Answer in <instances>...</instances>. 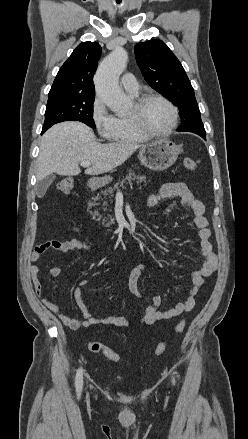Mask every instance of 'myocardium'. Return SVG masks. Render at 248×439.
<instances>
[{
	"label": "myocardium",
	"mask_w": 248,
	"mask_h": 439,
	"mask_svg": "<svg viewBox=\"0 0 248 439\" xmlns=\"http://www.w3.org/2000/svg\"><path fill=\"white\" fill-rule=\"evenodd\" d=\"M158 99L163 101L171 110L172 112V123L171 126L164 132H154L148 129L144 123L143 119V111L145 105L153 100ZM130 119L134 125V127L143 135L147 137H167L169 136L177 127L178 124V109L177 107L165 96L157 94V93H149L142 95L139 97L135 104H134V110L129 115Z\"/></svg>",
	"instance_id": "f54148a6"
}]
</instances>
